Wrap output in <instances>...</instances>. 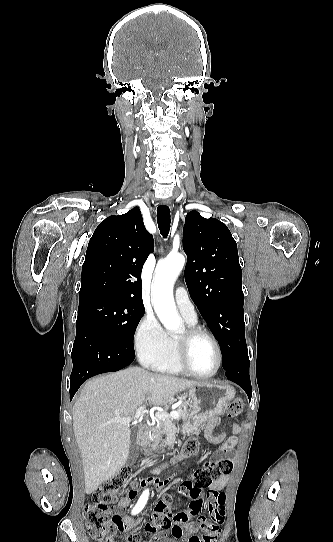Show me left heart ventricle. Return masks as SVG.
I'll list each match as a JSON object with an SVG mask.
<instances>
[{
	"mask_svg": "<svg viewBox=\"0 0 333 542\" xmlns=\"http://www.w3.org/2000/svg\"><path fill=\"white\" fill-rule=\"evenodd\" d=\"M188 362L190 368L198 374H209L214 371L217 354L212 342L206 337L193 340L189 347Z\"/></svg>",
	"mask_w": 333,
	"mask_h": 542,
	"instance_id": "b2bd125f",
	"label": "left heart ventricle"
}]
</instances>
